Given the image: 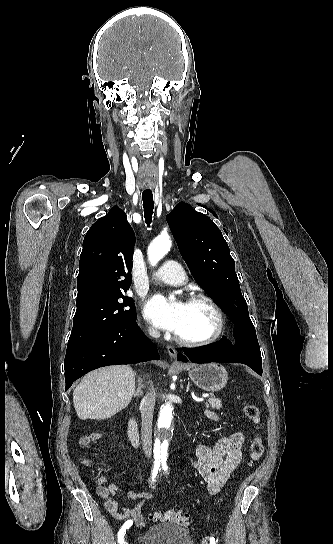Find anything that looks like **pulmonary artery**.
<instances>
[{
	"instance_id": "obj_1",
	"label": "pulmonary artery",
	"mask_w": 333,
	"mask_h": 544,
	"mask_svg": "<svg viewBox=\"0 0 333 544\" xmlns=\"http://www.w3.org/2000/svg\"><path fill=\"white\" fill-rule=\"evenodd\" d=\"M155 278L169 285H180L185 282L186 273L178 262L168 260L155 273Z\"/></svg>"
}]
</instances>
